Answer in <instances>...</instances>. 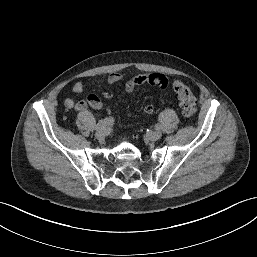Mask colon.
<instances>
[{"label": "colon", "instance_id": "1", "mask_svg": "<svg viewBox=\"0 0 257 257\" xmlns=\"http://www.w3.org/2000/svg\"><path fill=\"white\" fill-rule=\"evenodd\" d=\"M171 86L179 98L183 116L191 119L196 112V98L191 89L181 81H173Z\"/></svg>", "mask_w": 257, "mask_h": 257}]
</instances>
